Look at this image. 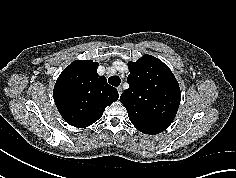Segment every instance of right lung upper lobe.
<instances>
[{
	"instance_id": "right-lung-upper-lobe-1",
	"label": "right lung upper lobe",
	"mask_w": 236,
	"mask_h": 178,
	"mask_svg": "<svg viewBox=\"0 0 236 178\" xmlns=\"http://www.w3.org/2000/svg\"><path fill=\"white\" fill-rule=\"evenodd\" d=\"M97 62H72L58 77L53 98L63 119L84 128L99 120L106 106L115 102L118 91L97 74Z\"/></svg>"
}]
</instances>
